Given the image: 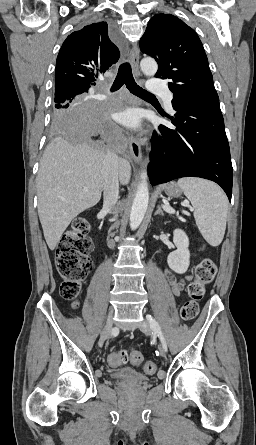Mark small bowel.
<instances>
[{
	"label": "small bowel",
	"mask_w": 256,
	"mask_h": 445,
	"mask_svg": "<svg viewBox=\"0 0 256 445\" xmlns=\"http://www.w3.org/2000/svg\"><path fill=\"white\" fill-rule=\"evenodd\" d=\"M165 276L167 278L168 285L170 286L174 295L178 296L184 289L185 280L190 279V277H185L177 279L176 275L169 269H166Z\"/></svg>",
	"instance_id": "c3829d8e"
}]
</instances>
